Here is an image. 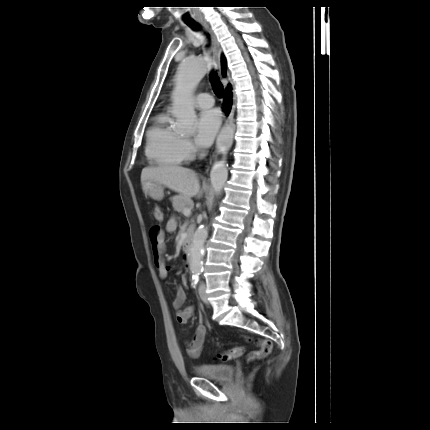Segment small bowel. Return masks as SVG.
<instances>
[{
    "mask_svg": "<svg viewBox=\"0 0 430 430\" xmlns=\"http://www.w3.org/2000/svg\"><path fill=\"white\" fill-rule=\"evenodd\" d=\"M175 229L176 220L174 218H171L167 222L165 229L155 226L149 232V238L152 245V252L154 257V264L158 270V274L161 279L167 278L170 268L168 265H166L164 260V252L166 248L165 236L166 233H171ZM183 268L187 270V265H184ZM185 300L186 294L184 290L181 287L177 288L176 296L172 301V307L176 312V321L179 324H186L194 314L193 306H184ZM206 332L207 330L203 324V319L202 317H200L199 325L197 326L193 337L185 344L186 353L190 357L197 358L200 356L204 346Z\"/></svg>",
    "mask_w": 430,
    "mask_h": 430,
    "instance_id": "small-bowel-1",
    "label": "small bowel"
}]
</instances>
